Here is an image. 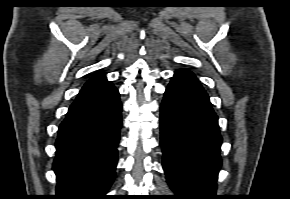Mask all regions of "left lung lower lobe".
<instances>
[{"instance_id": "obj_1", "label": "left lung lower lobe", "mask_w": 290, "mask_h": 199, "mask_svg": "<svg viewBox=\"0 0 290 199\" xmlns=\"http://www.w3.org/2000/svg\"><path fill=\"white\" fill-rule=\"evenodd\" d=\"M160 129L172 190L183 199L215 198L222 138L209 97L191 71H175L162 101Z\"/></svg>"}]
</instances>
